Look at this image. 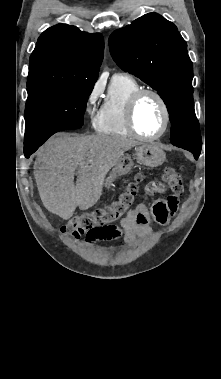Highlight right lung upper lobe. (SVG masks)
Segmentation results:
<instances>
[{
	"instance_id": "1",
	"label": "right lung upper lobe",
	"mask_w": 221,
	"mask_h": 379,
	"mask_svg": "<svg viewBox=\"0 0 221 379\" xmlns=\"http://www.w3.org/2000/svg\"><path fill=\"white\" fill-rule=\"evenodd\" d=\"M104 39L75 26L55 25L44 31L30 56L27 92L95 83L103 59Z\"/></svg>"
}]
</instances>
